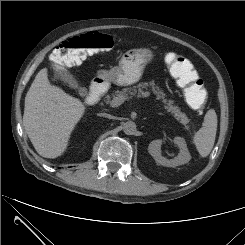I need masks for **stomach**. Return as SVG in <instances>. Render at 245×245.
I'll return each instance as SVG.
<instances>
[{
    "label": "stomach",
    "mask_w": 245,
    "mask_h": 245,
    "mask_svg": "<svg viewBox=\"0 0 245 245\" xmlns=\"http://www.w3.org/2000/svg\"><path fill=\"white\" fill-rule=\"evenodd\" d=\"M154 58L149 48H134L123 53L119 65L110 70L98 71V77L106 82L128 86L138 82L148 63Z\"/></svg>",
    "instance_id": "0dacf381"
}]
</instances>
